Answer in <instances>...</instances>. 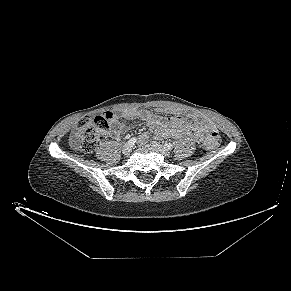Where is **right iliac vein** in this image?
Masks as SVG:
<instances>
[{"instance_id": "right-iliac-vein-1", "label": "right iliac vein", "mask_w": 291, "mask_h": 291, "mask_svg": "<svg viewBox=\"0 0 291 291\" xmlns=\"http://www.w3.org/2000/svg\"><path fill=\"white\" fill-rule=\"evenodd\" d=\"M131 151H132V146L129 144L124 145L122 148V153L125 155H129Z\"/></svg>"}]
</instances>
